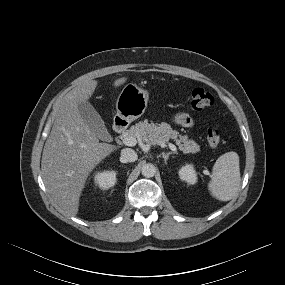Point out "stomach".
Returning <instances> with one entry per match:
<instances>
[{"mask_svg": "<svg viewBox=\"0 0 285 285\" xmlns=\"http://www.w3.org/2000/svg\"><path fill=\"white\" fill-rule=\"evenodd\" d=\"M149 99L148 91L136 84H127L116 101L117 116L132 122L144 114Z\"/></svg>", "mask_w": 285, "mask_h": 285, "instance_id": "1", "label": "stomach"}]
</instances>
